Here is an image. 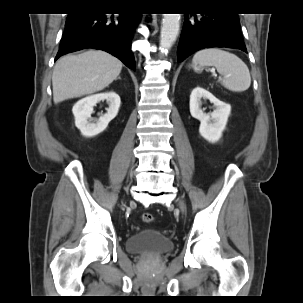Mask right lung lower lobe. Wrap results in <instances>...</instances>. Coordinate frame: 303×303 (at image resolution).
I'll use <instances>...</instances> for the list:
<instances>
[{
    "instance_id": "obj_1",
    "label": "right lung lower lobe",
    "mask_w": 303,
    "mask_h": 303,
    "mask_svg": "<svg viewBox=\"0 0 303 303\" xmlns=\"http://www.w3.org/2000/svg\"><path fill=\"white\" fill-rule=\"evenodd\" d=\"M119 15L117 18L110 17L89 7L68 14L55 60L83 48H96L113 54L126 66L135 70L130 44L141 14Z\"/></svg>"
}]
</instances>
